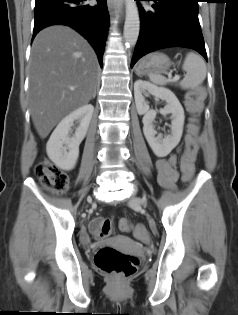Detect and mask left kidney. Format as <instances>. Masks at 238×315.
I'll use <instances>...</instances> for the list:
<instances>
[{"label": "left kidney", "mask_w": 238, "mask_h": 315, "mask_svg": "<svg viewBox=\"0 0 238 315\" xmlns=\"http://www.w3.org/2000/svg\"><path fill=\"white\" fill-rule=\"evenodd\" d=\"M151 94L161 100L166 101L167 105L160 110L163 115L171 114V134L164 138L160 135L155 137L153 121L156 118V111L151 110L145 101V96ZM134 97L136 109L139 115H144L143 133L154 154L158 157L167 156L180 142L183 125H184V109L175 94L163 87H157L148 81L141 79L134 83Z\"/></svg>", "instance_id": "obj_1"}]
</instances>
